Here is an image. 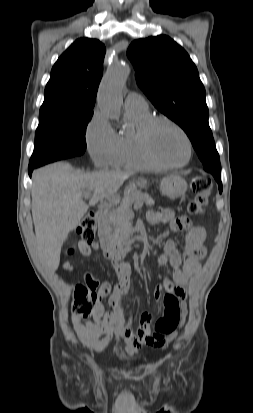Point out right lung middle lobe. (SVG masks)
<instances>
[{"mask_svg": "<svg viewBox=\"0 0 253 413\" xmlns=\"http://www.w3.org/2000/svg\"><path fill=\"white\" fill-rule=\"evenodd\" d=\"M93 112H54L39 115L29 167L82 155L85 132Z\"/></svg>", "mask_w": 253, "mask_h": 413, "instance_id": "dd1d6c3e", "label": "right lung middle lobe"}]
</instances>
